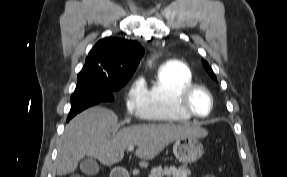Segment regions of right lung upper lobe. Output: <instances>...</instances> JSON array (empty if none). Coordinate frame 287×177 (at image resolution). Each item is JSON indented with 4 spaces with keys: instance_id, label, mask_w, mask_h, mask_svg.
<instances>
[{
    "instance_id": "1",
    "label": "right lung upper lobe",
    "mask_w": 287,
    "mask_h": 177,
    "mask_svg": "<svg viewBox=\"0 0 287 177\" xmlns=\"http://www.w3.org/2000/svg\"><path fill=\"white\" fill-rule=\"evenodd\" d=\"M143 54V48L136 41L107 37L90 50L81 71L92 74L104 85H111L129 80Z\"/></svg>"
}]
</instances>
